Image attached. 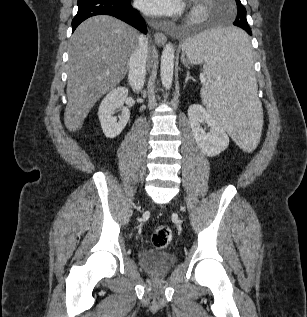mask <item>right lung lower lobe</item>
Returning <instances> with one entry per match:
<instances>
[{
    "instance_id": "right-lung-lower-lobe-1",
    "label": "right lung lower lobe",
    "mask_w": 307,
    "mask_h": 317,
    "mask_svg": "<svg viewBox=\"0 0 307 317\" xmlns=\"http://www.w3.org/2000/svg\"><path fill=\"white\" fill-rule=\"evenodd\" d=\"M77 5L78 12L72 20V32L89 17L111 15L147 33L143 18L132 8L130 0H78Z\"/></svg>"
}]
</instances>
